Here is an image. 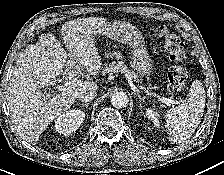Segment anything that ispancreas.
<instances>
[{"label": "pancreas", "instance_id": "1", "mask_svg": "<svg viewBox=\"0 0 224 175\" xmlns=\"http://www.w3.org/2000/svg\"><path fill=\"white\" fill-rule=\"evenodd\" d=\"M103 73H109V74H115V73H121L123 74L127 79L131 81L140 82L141 79H139L138 75L134 72L128 69L126 65H123L122 62H112L109 64H106Z\"/></svg>", "mask_w": 224, "mask_h": 175}]
</instances>
